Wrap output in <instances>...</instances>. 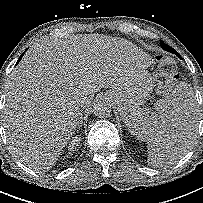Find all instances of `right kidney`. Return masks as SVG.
Wrapping results in <instances>:
<instances>
[{
	"mask_svg": "<svg viewBox=\"0 0 203 203\" xmlns=\"http://www.w3.org/2000/svg\"><path fill=\"white\" fill-rule=\"evenodd\" d=\"M80 140V137H73L72 141L69 143L68 146L69 154L76 150L77 146H79L80 144Z\"/></svg>",
	"mask_w": 203,
	"mask_h": 203,
	"instance_id": "right-kidney-1",
	"label": "right kidney"
}]
</instances>
